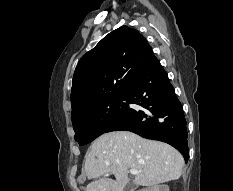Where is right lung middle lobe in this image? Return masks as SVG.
Masks as SVG:
<instances>
[{"label": "right lung middle lobe", "instance_id": "dd1d6c3e", "mask_svg": "<svg viewBox=\"0 0 233 191\" xmlns=\"http://www.w3.org/2000/svg\"><path fill=\"white\" fill-rule=\"evenodd\" d=\"M128 109L127 95L99 103L72 117L75 140L85 145L104 133L106 128Z\"/></svg>", "mask_w": 233, "mask_h": 191}]
</instances>
